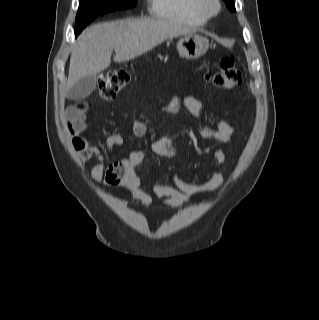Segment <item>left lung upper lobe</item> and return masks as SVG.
<instances>
[{
    "instance_id": "1",
    "label": "left lung upper lobe",
    "mask_w": 319,
    "mask_h": 320,
    "mask_svg": "<svg viewBox=\"0 0 319 320\" xmlns=\"http://www.w3.org/2000/svg\"><path fill=\"white\" fill-rule=\"evenodd\" d=\"M228 9L232 12H235L236 9H235V5H234V0H224Z\"/></svg>"
}]
</instances>
